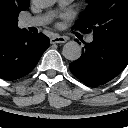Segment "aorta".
I'll list each match as a JSON object with an SVG mask.
<instances>
[{"label":"aorta","mask_w":128,"mask_h":128,"mask_svg":"<svg viewBox=\"0 0 128 128\" xmlns=\"http://www.w3.org/2000/svg\"><path fill=\"white\" fill-rule=\"evenodd\" d=\"M34 4L40 8H48L55 4L56 0H33ZM63 56L70 61H75L81 57L82 50L75 41H69L63 46Z\"/></svg>","instance_id":"762f6f07"}]
</instances>
